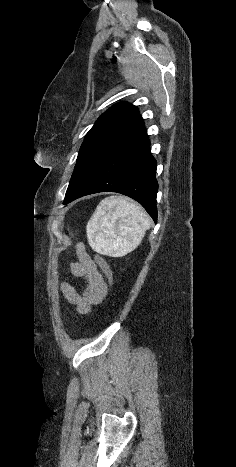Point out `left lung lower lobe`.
<instances>
[{"label": "left lung lower lobe", "mask_w": 236, "mask_h": 467, "mask_svg": "<svg viewBox=\"0 0 236 467\" xmlns=\"http://www.w3.org/2000/svg\"><path fill=\"white\" fill-rule=\"evenodd\" d=\"M149 145L147 130L141 120L108 148L88 179L64 200V204L93 193L117 192L135 199L157 222V162Z\"/></svg>", "instance_id": "0a47b994"}]
</instances>
